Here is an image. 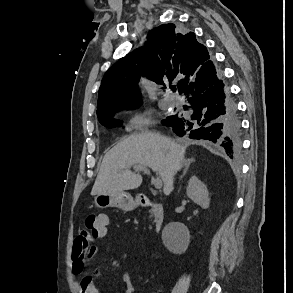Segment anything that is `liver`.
I'll list each match as a JSON object with an SVG mask.
<instances>
[{
	"label": "liver",
	"mask_w": 293,
	"mask_h": 293,
	"mask_svg": "<svg viewBox=\"0 0 293 293\" xmlns=\"http://www.w3.org/2000/svg\"><path fill=\"white\" fill-rule=\"evenodd\" d=\"M185 151V146L158 133L131 135L105 154L91 195H113L138 188L142 177L130 170L132 166L150 167L162 178L168 195L173 190L175 174L185 162Z\"/></svg>",
	"instance_id": "liver-1"
}]
</instances>
